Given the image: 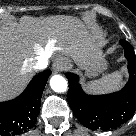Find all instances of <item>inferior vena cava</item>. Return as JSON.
Listing matches in <instances>:
<instances>
[{
    "instance_id": "inferior-vena-cava-1",
    "label": "inferior vena cava",
    "mask_w": 136,
    "mask_h": 136,
    "mask_svg": "<svg viewBox=\"0 0 136 136\" xmlns=\"http://www.w3.org/2000/svg\"><path fill=\"white\" fill-rule=\"evenodd\" d=\"M48 65V59L46 57H37L33 62V69L34 70H42L45 69Z\"/></svg>"
}]
</instances>
